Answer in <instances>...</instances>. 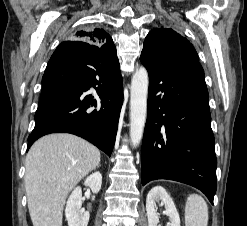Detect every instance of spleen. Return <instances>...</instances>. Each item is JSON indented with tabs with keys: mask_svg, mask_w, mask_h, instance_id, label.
I'll list each match as a JSON object with an SVG mask.
<instances>
[{
	"mask_svg": "<svg viewBox=\"0 0 247 226\" xmlns=\"http://www.w3.org/2000/svg\"><path fill=\"white\" fill-rule=\"evenodd\" d=\"M186 226H207L208 206L206 201L197 194H191L187 198L185 207Z\"/></svg>",
	"mask_w": 247,
	"mask_h": 226,
	"instance_id": "spleen-1",
	"label": "spleen"
}]
</instances>
